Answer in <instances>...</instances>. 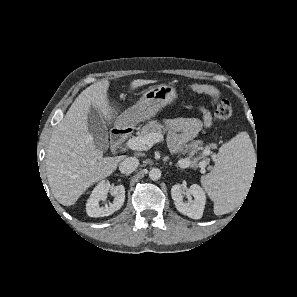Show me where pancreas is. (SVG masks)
I'll return each mask as SVG.
<instances>
[{"mask_svg": "<svg viewBox=\"0 0 297 297\" xmlns=\"http://www.w3.org/2000/svg\"><path fill=\"white\" fill-rule=\"evenodd\" d=\"M152 133H157L159 135L163 133V126L157 120L149 121L146 125H144L140 129L139 136H145ZM190 146L191 145L186 146V148ZM193 154L194 152H190L189 153L190 157H192ZM195 165H197L196 161H192V166H195Z\"/></svg>", "mask_w": 297, "mask_h": 297, "instance_id": "1", "label": "pancreas"}]
</instances>
